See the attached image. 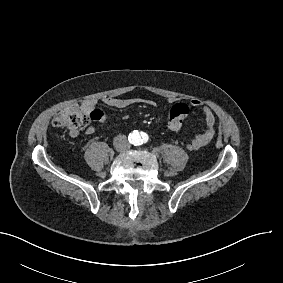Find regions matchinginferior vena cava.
<instances>
[{
  "label": "inferior vena cava",
  "mask_w": 283,
  "mask_h": 283,
  "mask_svg": "<svg viewBox=\"0 0 283 283\" xmlns=\"http://www.w3.org/2000/svg\"><path fill=\"white\" fill-rule=\"evenodd\" d=\"M113 144L118 151H124L130 148L125 135H118L114 138Z\"/></svg>",
  "instance_id": "inferior-vena-cava-1"
}]
</instances>
